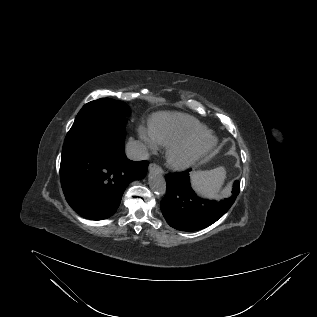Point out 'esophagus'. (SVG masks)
<instances>
[{"label": "esophagus", "instance_id": "34e87169", "mask_svg": "<svg viewBox=\"0 0 317 317\" xmlns=\"http://www.w3.org/2000/svg\"><path fill=\"white\" fill-rule=\"evenodd\" d=\"M149 171L156 172L159 174H163V169L156 163H151L148 167Z\"/></svg>", "mask_w": 317, "mask_h": 317}]
</instances>
